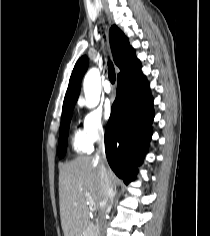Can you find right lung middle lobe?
<instances>
[{
	"label": "right lung middle lobe",
	"mask_w": 210,
	"mask_h": 236,
	"mask_svg": "<svg viewBox=\"0 0 210 236\" xmlns=\"http://www.w3.org/2000/svg\"><path fill=\"white\" fill-rule=\"evenodd\" d=\"M72 109L62 112L61 125H60V136L58 145V155L64 157L66 153V145L68 142V130L71 121Z\"/></svg>",
	"instance_id": "dd1d6c3e"
}]
</instances>
